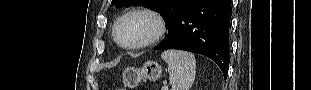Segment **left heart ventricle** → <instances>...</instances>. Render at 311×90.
Here are the masks:
<instances>
[{"label":"left heart ventricle","mask_w":311,"mask_h":90,"mask_svg":"<svg viewBox=\"0 0 311 90\" xmlns=\"http://www.w3.org/2000/svg\"><path fill=\"white\" fill-rule=\"evenodd\" d=\"M154 30L153 22L145 16H130L118 28V38L124 44L145 40Z\"/></svg>","instance_id":"left-heart-ventricle-1"}]
</instances>
